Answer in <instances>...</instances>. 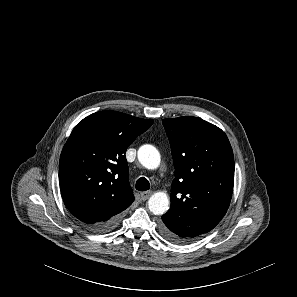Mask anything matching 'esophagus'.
<instances>
[{
  "mask_svg": "<svg viewBox=\"0 0 297 297\" xmlns=\"http://www.w3.org/2000/svg\"><path fill=\"white\" fill-rule=\"evenodd\" d=\"M152 192L151 191H145L140 193V198L141 200L145 201L151 196Z\"/></svg>",
  "mask_w": 297,
  "mask_h": 297,
  "instance_id": "obj_1",
  "label": "esophagus"
}]
</instances>
